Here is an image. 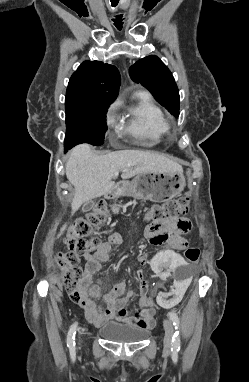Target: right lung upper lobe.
Returning a JSON list of instances; mask_svg holds the SVG:
<instances>
[{
    "label": "right lung upper lobe",
    "mask_w": 249,
    "mask_h": 382,
    "mask_svg": "<svg viewBox=\"0 0 249 382\" xmlns=\"http://www.w3.org/2000/svg\"><path fill=\"white\" fill-rule=\"evenodd\" d=\"M120 74L118 69L100 61H85L73 73L68 83L65 107L96 101L113 102L118 95Z\"/></svg>",
    "instance_id": "obj_1"
}]
</instances>
